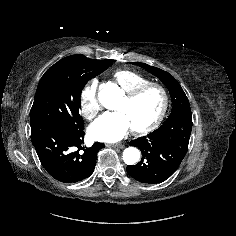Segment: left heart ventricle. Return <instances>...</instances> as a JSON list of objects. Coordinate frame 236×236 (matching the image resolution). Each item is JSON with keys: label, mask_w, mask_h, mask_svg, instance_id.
Wrapping results in <instances>:
<instances>
[{"label": "left heart ventricle", "mask_w": 236, "mask_h": 236, "mask_svg": "<svg viewBox=\"0 0 236 236\" xmlns=\"http://www.w3.org/2000/svg\"><path fill=\"white\" fill-rule=\"evenodd\" d=\"M161 106V93L157 89L151 88L133 101H127L123 97L116 106V110L125 113L132 128H140L156 118Z\"/></svg>", "instance_id": "left-heart-ventricle-1"}]
</instances>
